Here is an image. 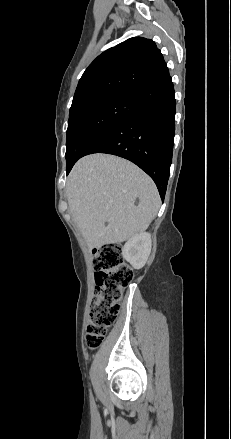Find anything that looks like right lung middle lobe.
I'll return each instance as SVG.
<instances>
[{"mask_svg": "<svg viewBox=\"0 0 231 439\" xmlns=\"http://www.w3.org/2000/svg\"><path fill=\"white\" fill-rule=\"evenodd\" d=\"M139 111L134 93H113L95 97L70 109L67 165L75 161L83 147L100 131Z\"/></svg>", "mask_w": 231, "mask_h": 439, "instance_id": "dd1d6c3e", "label": "right lung middle lobe"}]
</instances>
